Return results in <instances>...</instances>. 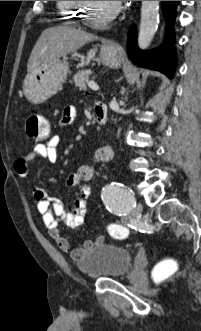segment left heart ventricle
Here are the masks:
<instances>
[{"mask_svg": "<svg viewBox=\"0 0 201 331\" xmlns=\"http://www.w3.org/2000/svg\"><path fill=\"white\" fill-rule=\"evenodd\" d=\"M115 8L116 6L111 1H91L88 14L91 19L100 20Z\"/></svg>", "mask_w": 201, "mask_h": 331, "instance_id": "b2bd125f", "label": "left heart ventricle"}]
</instances>
